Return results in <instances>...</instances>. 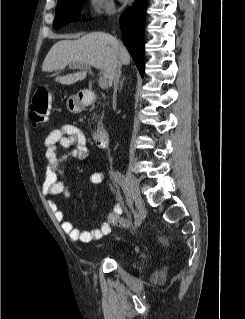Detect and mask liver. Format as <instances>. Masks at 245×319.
Here are the masks:
<instances>
[{
    "instance_id": "obj_1",
    "label": "liver",
    "mask_w": 245,
    "mask_h": 319,
    "mask_svg": "<svg viewBox=\"0 0 245 319\" xmlns=\"http://www.w3.org/2000/svg\"><path fill=\"white\" fill-rule=\"evenodd\" d=\"M130 54L117 40L103 32H94L84 35L78 40H62L55 43L46 55L42 70L44 72L60 71L67 65H87L98 68L111 84L116 65H128ZM86 72L56 77L55 81L63 85H71L82 81Z\"/></svg>"
}]
</instances>
